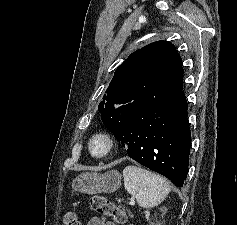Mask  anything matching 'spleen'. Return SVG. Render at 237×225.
<instances>
[{"instance_id":"1","label":"spleen","mask_w":237,"mask_h":225,"mask_svg":"<svg viewBox=\"0 0 237 225\" xmlns=\"http://www.w3.org/2000/svg\"><path fill=\"white\" fill-rule=\"evenodd\" d=\"M124 187L135 196L139 206L152 208L165 200L171 187L162 176L144 168L130 165L124 168Z\"/></svg>"}]
</instances>
